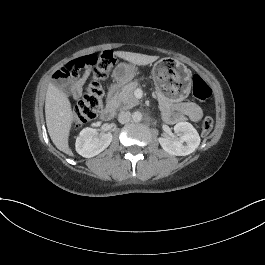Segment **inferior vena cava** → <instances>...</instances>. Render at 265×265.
<instances>
[{
	"label": "inferior vena cava",
	"instance_id": "602c4592",
	"mask_svg": "<svg viewBox=\"0 0 265 265\" xmlns=\"http://www.w3.org/2000/svg\"><path fill=\"white\" fill-rule=\"evenodd\" d=\"M130 118H131V113L129 111H121L118 114V121L121 124L128 123L130 121Z\"/></svg>",
	"mask_w": 265,
	"mask_h": 265
}]
</instances>
